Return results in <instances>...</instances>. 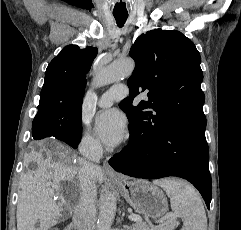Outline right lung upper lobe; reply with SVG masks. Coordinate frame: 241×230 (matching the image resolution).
<instances>
[{"label": "right lung upper lobe", "mask_w": 241, "mask_h": 230, "mask_svg": "<svg viewBox=\"0 0 241 230\" xmlns=\"http://www.w3.org/2000/svg\"><path fill=\"white\" fill-rule=\"evenodd\" d=\"M97 52V48L80 49L77 45L62 49L46 69L38 113L60 108H81L86 73Z\"/></svg>", "instance_id": "cb5924a9"}]
</instances>
